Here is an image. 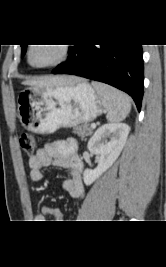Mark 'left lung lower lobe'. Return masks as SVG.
I'll return each instance as SVG.
<instances>
[{"instance_id": "obj_1", "label": "left lung lower lobe", "mask_w": 166, "mask_h": 267, "mask_svg": "<svg viewBox=\"0 0 166 267\" xmlns=\"http://www.w3.org/2000/svg\"><path fill=\"white\" fill-rule=\"evenodd\" d=\"M69 59L52 73L74 74L112 85L128 93L138 110L144 89V67L141 45H75Z\"/></svg>"}]
</instances>
